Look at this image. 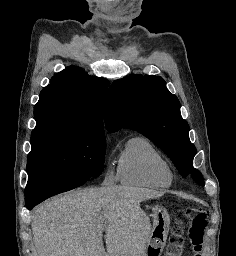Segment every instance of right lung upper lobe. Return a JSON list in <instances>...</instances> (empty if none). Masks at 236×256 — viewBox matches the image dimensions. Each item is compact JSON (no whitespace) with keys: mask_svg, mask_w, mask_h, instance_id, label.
<instances>
[{"mask_svg":"<svg viewBox=\"0 0 236 256\" xmlns=\"http://www.w3.org/2000/svg\"><path fill=\"white\" fill-rule=\"evenodd\" d=\"M108 80L67 67L52 77L34 106L36 126L70 125L104 133L102 107Z\"/></svg>","mask_w":236,"mask_h":256,"instance_id":"obj_1","label":"right lung upper lobe"}]
</instances>
